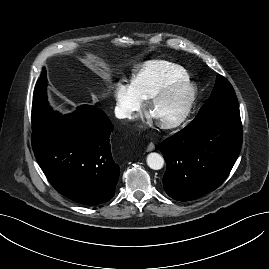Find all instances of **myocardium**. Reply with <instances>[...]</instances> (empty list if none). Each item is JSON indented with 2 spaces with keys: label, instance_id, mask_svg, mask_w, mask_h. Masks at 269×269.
<instances>
[{
  "label": "myocardium",
  "instance_id": "1",
  "mask_svg": "<svg viewBox=\"0 0 269 269\" xmlns=\"http://www.w3.org/2000/svg\"><path fill=\"white\" fill-rule=\"evenodd\" d=\"M176 93L184 94V102L182 108L178 116L175 118L168 121H158V124L162 129L178 128L188 119L196 101L197 88L192 82L185 80L162 89L153 95L148 101V112L151 113L159 103Z\"/></svg>",
  "mask_w": 269,
  "mask_h": 269
}]
</instances>
